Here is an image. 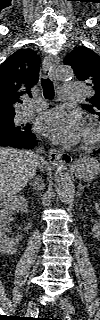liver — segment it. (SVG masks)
<instances>
[{"label": "liver", "mask_w": 100, "mask_h": 320, "mask_svg": "<svg viewBox=\"0 0 100 320\" xmlns=\"http://www.w3.org/2000/svg\"><path fill=\"white\" fill-rule=\"evenodd\" d=\"M36 155L27 150L0 148V200L7 201L19 193L36 174Z\"/></svg>", "instance_id": "1"}]
</instances>
